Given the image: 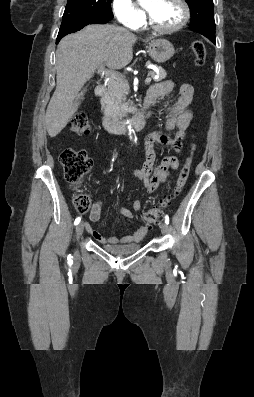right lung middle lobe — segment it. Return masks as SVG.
I'll list each match as a JSON object with an SVG mask.
<instances>
[{
    "label": "right lung middle lobe",
    "mask_w": 254,
    "mask_h": 397,
    "mask_svg": "<svg viewBox=\"0 0 254 397\" xmlns=\"http://www.w3.org/2000/svg\"><path fill=\"white\" fill-rule=\"evenodd\" d=\"M112 0H68L64 13H78L92 17L112 16Z\"/></svg>",
    "instance_id": "right-lung-middle-lobe-1"
}]
</instances>
